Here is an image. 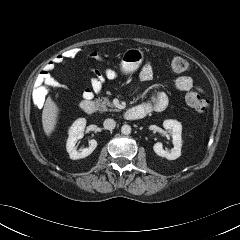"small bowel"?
<instances>
[{
    "instance_id": "1",
    "label": "small bowel",
    "mask_w": 240,
    "mask_h": 240,
    "mask_svg": "<svg viewBox=\"0 0 240 240\" xmlns=\"http://www.w3.org/2000/svg\"><path fill=\"white\" fill-rule=\"evenodd\" d=\"M89 59L99 61L107 64V61L103 58V56L97 52H91L88 55ZM59 64H63V61L60 60L59 56H55L46 65L43 69L38 73L34 81V87L38 88L42 85H47L53 88H62L68 91V88L62 84H60L52 75V71ZM118 77V73L106 66L103 71L93 70L91 75V87L85 88L82 91V96L84 99H92L94 94H100L103 89V85L106 80H113ZM153 77V69L150 63H145L140 71V79L142 81H149ZM174 88L178 92H186L191 89H196L201 92V89L196 87L193 79L190 76H180L176 79ZM169 103V99L166 93L162 91L155 92L149 100L139 105L141 108L145 109L147 113L150 112H162L164 111Z\"/></svg>"
}]
</instances>
